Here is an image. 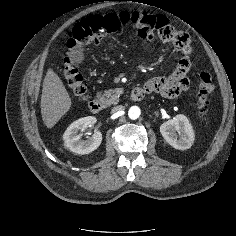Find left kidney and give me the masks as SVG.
<instances>
[{
  "label": "left kidney",
  "mask_w": 236,
  "mask_h": 236,
  "mask_svg": "<svg viewBox=\"0 0 236 236\" xmlns=\"http://www.w3.org/2000/svg\"><path fill=\"white\" fill-rule=\"evenodd\" d=\"M163 138L179 150L189 149L194 142V131L186 116L180 114L160 126Z\"/></svg>",
  "instance_id": "left-kidney-1"
}]
</instances>
